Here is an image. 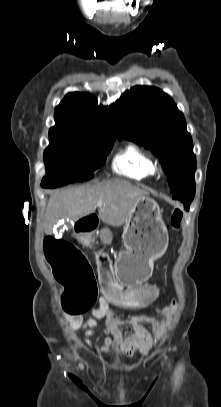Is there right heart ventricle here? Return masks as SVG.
Masks as SVG:
<instances>
[{
  "label": "right heart ventricle",
  "mask_w": 221,
  "mask_h": 407,
  "mask_svg": "<svg viewBox=\"0 0 221 407\" xmlns=\"http://www.w3.org/2000/svg\"><path fill=\"white\" fill-rule=\"evenodd\" d=\"M113 169L119 175L136 181L150 179L157 174L154 159L134 145L125 147L116 155L113 160Z\"/></svg>",
  "instance_id": "right-heart-ventricle-1"
}]
</instances>
